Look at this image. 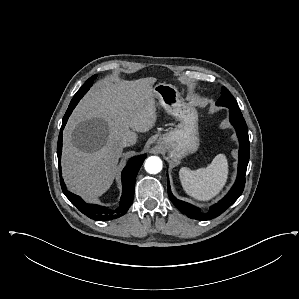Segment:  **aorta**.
I'll return each mask as SVG.
<instances>
[{"label": "aorta", "instance_id": "aorta-1", "mask_svg": "<svg viewBox=\"0 0 299 299\" xmlns=\"http://www.w3.org/2000/svg\"><path fill=\"white\" fill-rule=\"evenodd\" d=\"M162 160L157 156H151L146 159L145 170L150 174H157L162 170Z\"/></svg>", "mask_w": 299, "mask_h": 299}]
</instances>
